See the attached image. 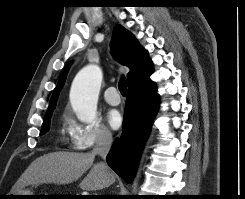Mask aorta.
Segmentation results:
<instances>
[{
	"mask_svg": "<svg viewBox=\"0 0 245 199\" xmlns=\"http://www.w3.org/2000/svg\"><path fill=\"white\" fill-rule=\"evenodd\" d=\"M102 82V71L97 65H88L78 72L70 91L71 106L78 119L91 123L96 118L97 101Z\"/></svg>",
	"mask_w": 245,
	"mask_h": 199,
	"instance_id": "aorta-1",
	"label": "aorta"
}]
</instances>
